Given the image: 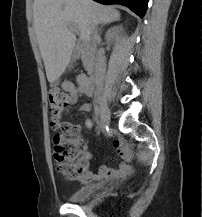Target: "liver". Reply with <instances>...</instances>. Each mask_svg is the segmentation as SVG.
Returning a JSON list of instances; mask_svg holds the SVG:
<instances>
[{
  "mask_svg": "<svg viewBox=\"0 0 202 217\" xmlns=\"http://www.w3.org/2000/svg\"><path fill=\"white\" fill-rule=\"evenodd\" d=\"M119 18V11L93 0H34V29L48 81H56L70 62L76 37L68 24L89 41L93 26Z\"/></svg>",
  "mask_w": 202,
  "mask_h": 217,
  "instance_id": "liver-1",
  "label": "liver"
}]
</instances>
